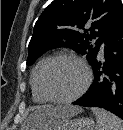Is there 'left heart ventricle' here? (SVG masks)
Masks as SVG:
<instances>
[{
  "label": "left heart ventricle",
  "instance_id": "left-heart-ventricle-1",
  "mask_svg": "<svg viewBox=\"0 0 123 130\" xmlns=\"http://www.w3.org/2000/svg\"><path fill=\"white\" fill-rule=\"evenodd\" d=\"M49 86L52 92L61 98L76 94L85 82V72L72 60H60L49 73Z\"/></svg>",
  "mask_w": 123,
  "mask_h": 130
}]
</instances>
